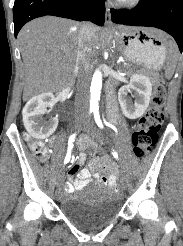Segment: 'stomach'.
<instances>
[{
  "mask_svg": "<svg viewBox=\"0 0 183 246\" xmlns=\"http://www.w3.org/2000/svg\"><path fill=\"white\" fill-rule=\"evenodd\" d=\"M116 40L127 59L155 70L164 64L167 56L166 41L153 29L120 27L116 31Z\"/></svg>",
  "mask_w": 183,
  "mask_h": 246,
  "instance_id": "1",
  "label": "stomach"
}]
</instances>
